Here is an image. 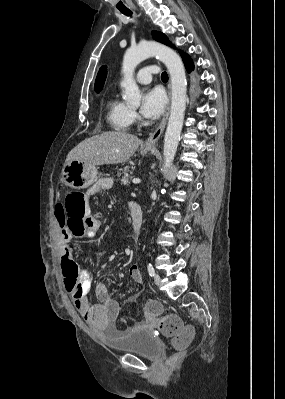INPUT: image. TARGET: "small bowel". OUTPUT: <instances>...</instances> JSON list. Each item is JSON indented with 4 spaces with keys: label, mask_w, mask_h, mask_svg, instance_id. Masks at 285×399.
<instances>
[{
    "label": "small bowel",
    "mask_w": 285,
    "mask_h": 399,
    "mask_svg": "<svg viewBox=\"0 0 285 399\" xmlns=\"http://www.w3.org/2000/svg\"><path fill=\"white\" fill-rule=\"evenodd\" d=\"M106 185L98 183L95 184L87 193L86 197H90L103 189H106ZM134 205H138L136 202L130 203V210ZM87 213L92 221V227L90 236L94 235L101 226V221L98 217L91 215L90 204H86ZM61 205H57L55 208V214L61 215ZM71 238V234L65 226L60 224L59 234V252L61 258L63 256H71L72 252L69 247L66 246V242ZM129 276L137 286H142L144 283L143 276L140 269L134 265L129 269ZM81 279L83 281L81 295L77 299H73L74 305L79 313L83 316L86 322L95 328H104L110 324L116 322L119 317V304L111 296L109 287L104 282H98L95 286V295L98 299V303H91L88 300L87 291L90 288V274L87 270L83 269L81 273ZM76 294V292H75ZM72 297V296H71ZM139 295H134L132 300L137 299ZM152 319L146 320V323L151 322ZM143 325V324H139Z\"/></svg>",
    "instance_id": "small-bowel-1"
}]
</instances>
